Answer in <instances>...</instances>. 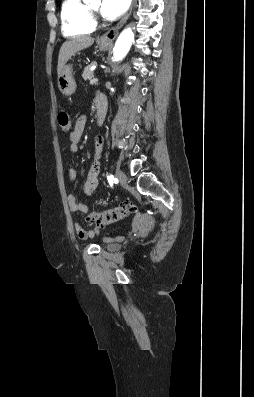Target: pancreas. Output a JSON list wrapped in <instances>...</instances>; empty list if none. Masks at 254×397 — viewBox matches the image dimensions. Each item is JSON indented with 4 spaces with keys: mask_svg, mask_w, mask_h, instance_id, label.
Segmentation results:
<instances>
[{
    "mask_svg": "<svg viewBox=\"0 0 254 397\" xmlns=\"http://www.w3.org/2000/svg\"><path fill=\"white\" fill-rule=\"evenodd\" d=\"M93 65H94V63H91L84 68V71L82 74V77L84 80H91L94 77V72L91 71V67Z\"/></svg>",
    "mask_w": 254,
    "mask_h": 397,
    "instance_id": "pancreas-1",
    "label": "pancreas"
}]
</instances>
